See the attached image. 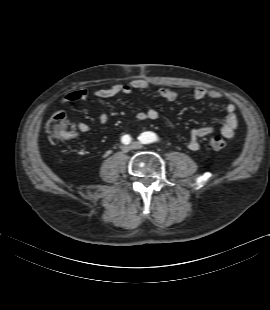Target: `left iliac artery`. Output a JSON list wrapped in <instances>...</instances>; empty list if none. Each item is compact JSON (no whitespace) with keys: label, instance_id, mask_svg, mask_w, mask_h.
<instances>
[{"label":"left iliac artery","instance_id":"left-iliac-artery-1","mask_svg":"<svg viewBox=\"0 0 270 310\" xmlns=\"http://www.w3.org/2000/svg\"><path fill=\"white\" fill-rule=\"evenodd\" d=\"M139 140L143 144H149L156 142L158 140V137L153 132H144L140 135Z\"/></svg>","mask_w":270,"mask_h":310}]
</instances>
